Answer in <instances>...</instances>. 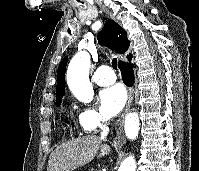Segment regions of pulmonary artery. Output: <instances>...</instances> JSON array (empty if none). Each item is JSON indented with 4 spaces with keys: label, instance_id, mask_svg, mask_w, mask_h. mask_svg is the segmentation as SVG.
Wrapping results in <instances>:
<instances>
[{
    "label": "pulmonary artery",
    "instance_id": "e3ab8cb5",
    "mask_svg": "<svg viewBox=\"0 0 199 171\" xmlns=\"http://www.w3.org/2000/svg\"><path fill=\"white\" fill-rule=\"evenodd\" d=\"M116 75L109 66H100L94 74V82L100 86H107L114 83Z\"/></svg>",
    "mask_w": 199,
    "mask_h": 171
}]
</instances>
